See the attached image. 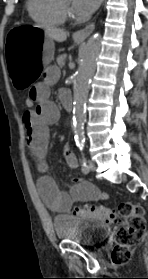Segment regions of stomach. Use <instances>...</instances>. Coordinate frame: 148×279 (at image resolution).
I'll return each instance as SVG.
<instances>
[{
    "mask_svg": "<svg viewBox=\"0 0 148 279\" xmlns=\"http://www.w3.org/2000/svg\"><path fill=\"white\" fill-rule=\"evenodd\" d=\"M6 69L13 91H31L42 75L43 67H48L54 56V43L38 25H11L5 34Z\"/></svg>",
    "mask_w": 148,
    "mask_h": 279,
    "instance_id": "0dacf381",
    "label": "stomach"
}]
</instances>
